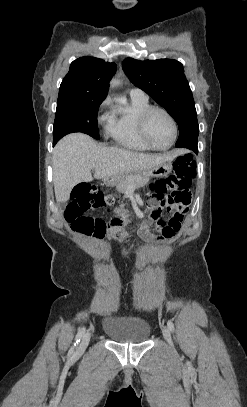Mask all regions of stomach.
<instances>
[{"instance_id": "obj_1", "label": "stomach", "mask_w": 247, "mask_h": 407, "mask_svg": "<svg viewBox=\"0 0 247 407\" xmlns=\"http://www.w3.org/2000/svg\"><path fill=\"white\" fill-rule=\"evenodd\" d=\"M173 168V164L171 161H167L162 163L158 166H143L142 169H133L132 176L133 178H150L153 177H166L168 176ZM128 176L127 175H116L107 177L104 179V183L107 186H117L119 183L123 181V179Z\"/></svg>"}]
</instances>
